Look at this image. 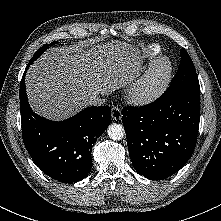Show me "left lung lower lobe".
<instances>
[{"label": "left lung lower lobe", "instance_id": "left-lung-lower-lobe-1", "mask_svg": "<svg viewBox=\"0 0 221 221\" xmlns=\"http://www.w3.org/2000/svg\"><path fill=\"white\" fill-rule=\"evenodd\" d=\"M122 122L130 159L140 174L163 180L190 159L200 121V88L170 89L153 103L125 107Z\"/></svg>", "mask_w": 221, "mask_h": 221}]
</instances>
